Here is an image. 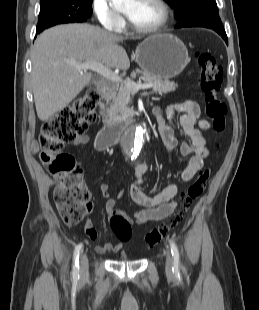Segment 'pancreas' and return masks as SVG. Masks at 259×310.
Instances as JSON below:
<instances>
[{"label":"pancreas","mask_w":259,"mask_h":310,"mask_svg":"<svg viewBox=\"0 0 259 310\" xmlns=\"http://www.w3.org/2000/svg\"><path fill=\"white\" fill-rule=\"evenodd\" d=\"M137 73L143 74L145 81L153 85L152 90L156 93L166 94L175 91L178 87L177 84L169 81L168 79L157 78L139 70H137ZM131 76L132 78H135L136 74L132 73ZM112 85V92L106 95L107 104L109 106L106 109V112L103 113V121L106 124L128 122L132 116L131 111L127 107L131 91L127 89L125 85Z\"/></svg>","instance_id":"obj_1"}]
</instances>
